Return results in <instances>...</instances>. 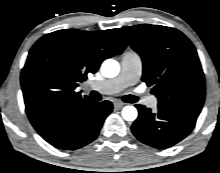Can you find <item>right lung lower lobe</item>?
I'll use <instances>...</instances> for the list:
<instances>
[{
	"mask_svg": "<svg viewBox=\"0 0 220 173\" xmlns=\"http://www.w3.org/2000/svg\"><path fill=\"white\" fill-rule=\"evenodd\" d=\"M112 103H94L88 99L69 98L32 121L34 128L50 144L75 150L93 141Z\"/></svg>",
	"mask_w": 220,
	"mask_h": 173,
	"instance_id": "right-lung-lower-lobe-1",
	"label": "right lung lower lobe"
}]
</instances>
